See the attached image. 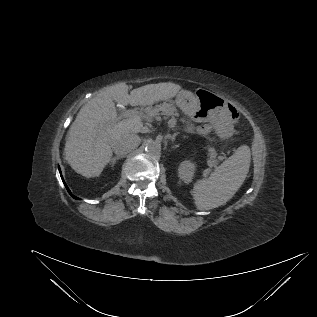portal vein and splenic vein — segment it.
I'll list each match as a JSON object with an SVG mask.
<instances>
[{"label": "portal vein and splenic vein", "mask_w": 317, "mask_h": 317, "mask_svg": "<svg viewBox=\"0 0 317 317\" xmlns=\"http://www.w3.org/2000/svg\"><path fill=\"white\" fill-rule=\"evenodd\" d=\"M119 118H133L136 121H140L142 116L141 113L139 111L136 110H126L124 112H122L119 116Z\"/></svg>", "instance_id": "obj_1"}]
</instances>
